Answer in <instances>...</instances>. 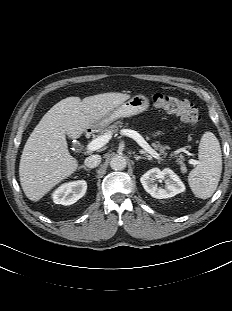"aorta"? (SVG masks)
<instances>
[{"label": "aorta", "mask_w": 232, "mask_h": 311, "mask_svg": "<svg viewBox=\"0 0 232 311\" xmlns=\"http://www.w3.org/2000/svg\"><path fill=\"white\" fill-rule=\"evenodd\" d=\"M127 160L123 155H115L111 158L110 167L113 170H123L126 168Z\"/></svg>", "instance_id": "762f6f07"}]
</instances>
